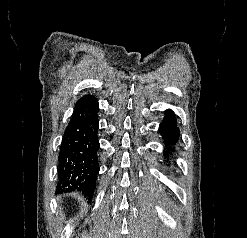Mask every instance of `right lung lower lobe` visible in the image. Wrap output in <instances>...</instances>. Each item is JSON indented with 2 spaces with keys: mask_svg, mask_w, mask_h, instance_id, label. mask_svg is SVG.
<instances>
[{
  "mask_svg": "<svg viewBox=\"0 0 247 238\" xmlns=\"http://www.w3.org/2000/svg\"><path fill=\"white\" fill-rule=\"evenodd\" d=\"M97 112L98 101L93 95H85L76 103L60 147L59 190H79L89 196L95 190L99 172Z\"/></svg>",
  "mask_w": 247,
  "mask_h": 238,
  "instance_id": "1",
  "label": "right lung lower lobe"
}]
</instances>
